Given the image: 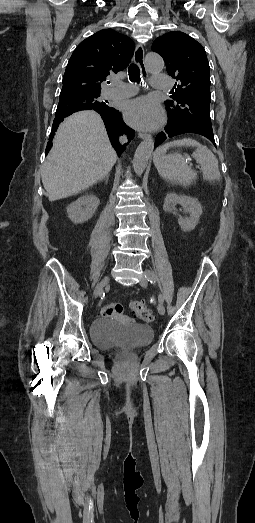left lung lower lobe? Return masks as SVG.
I'll return each mask as SVG.
<instances>
[{
	"instance_id": "left-lung-lower-lobe-1",
	"label": "left lung lower lobe",
	"mask_w": 255,
	"mask_h": 523,
	"mask_svg": "<svg viewBox=\"0 0 255 523\" xmlns=\"http://www.w3.org/2000/svg\"><path fill=\"white\" fill-rule=\"evenodd\" d=\"M183 131H192L193 136L197 137L198 135L201 137H209L210 144L212 146H215L217 144L216 137L217 134H210L207 133L209 130H205V127H199V125H189L187 124H181V123H173V127H170V125L166 126V128H163L159 132V137H155L156 143H153V148H158V146H162L164 144L163 140H168V137H176V134H182Z\"/></svg>"
}]
</instances>
